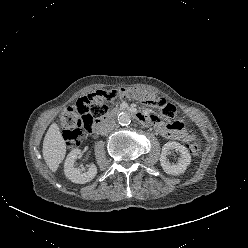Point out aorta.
Instances as JSON below:
<instances>
[{
  "instance_id": "obj_1",
  "label": "aorta",
  "mask_w": 248,
  "mask_h": 248,
  "mask_svg": "<svg viewBox=\"0 0 248 248\" xmlns=\"http://www.w3.org/2000/svg\"><path fill=\"white\" fill-rule=\"evenodd\" d=\"M118 123L122 126H127L131 123V117L128 113H120L117 117Z\"/></svg>"
}]
</instances>
